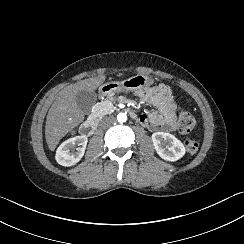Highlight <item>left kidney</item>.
<instances>
[{
	"instance_id": "5707ae66",
	"label": "left kidney",
	"mask_w": 244,
	"mask_h": 244,
	"mask_svg": "<svg viewBox=\"0 0 244 244\" xmlns=\"http://www.w3.org/2000/svg\"><path fill=\"white\" fill-rule=\"evenodd\" d=\"M152 142L156 153L167 162H176L186 154V148L182 141L167 132H155L152 134ZM163 142L168 143L167 149L163 148Z\"/></svg>"
}]
</instances>
